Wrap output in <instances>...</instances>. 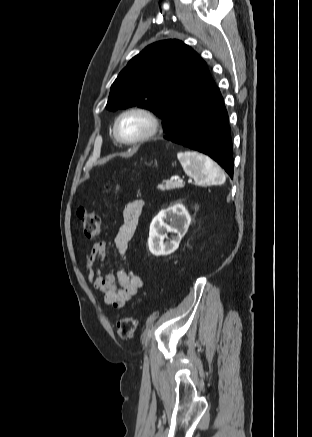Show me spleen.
Segmentation results:
<instances>
[{"label": "spleen", "mask_w": 312, "mask_h": 437, "mask_svg": "<svg viewBox=\"0 0 312 437\" xmlns=\"http://www.w3.org/2000/svg\"><path fill=\"white\" fill-rule=\"evenodd\" d=\"M177 158L185 173L198 184L221 185L226 180L222 169L208 156L186 151L179 152Z\"/></svg>", "instance_id": "3e777b00"}]
</instances>
